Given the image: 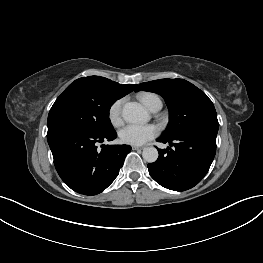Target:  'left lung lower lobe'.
Masks as SVG:
<instances>
[{
	"mask_svg": "<svg viewBox=\"0 0 263 263\" xmlns=\"http://www.w3.org/2000/svg\"><path fill=\"white\" fill-rule=\"evenodd\" d=\"M213 132H188L172 139L160 137L173 149H158L159 157L147 165L149 174L161 186L184 191L197 185L208 172L216 152Z\"/></svg>",
	"mask_w": 263,
	"mask_h": 263,
	"instance_id": "0a47b994",
	"label": "left lung lower lobe"
}]
</instances>
